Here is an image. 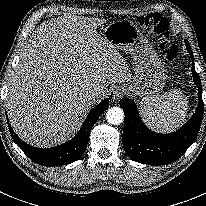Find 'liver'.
<instances>
[{
    "label": "liver",
    "mask_w": 206,
    "mask_h": 206,
    "mask_svg": "<svg viewBox=\"0 0 206 206\" xmlns=\"http://www.w3.org/2000/svg\"><path fill=\"white\" fill-rule=\"evenodd\" d=\"M104 19L63 16L41 23L12 74L6 109L17 135L33 146L53 147L81 127L93 92L131 80L122 55L96 28Z\"/></svg>",
    "instance_id": "6515ba94"
}]
</instances>
